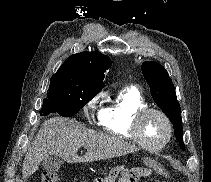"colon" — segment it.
<instances>
[{"mask_svg": "<svg viewBox=\"0 0 211 182\" xmlns=\"http://www.w3.org/2000/svg\"><path fill=\"white\" fill-rule=\"evenodd\" d=\"M152 172L162 177L167 175L164 167L158 164L131 169L118 167L109 171L105 176L95 178L92 182H115L117 179H119V182H137L141 177L147 176ZM41 182H61V179L57 173L44 170L41 172Z\"/></svg>", "mask_w": 211, "mask_h": 182, "instance_id": "colon-1", "label": "colon"}]
</instances>
